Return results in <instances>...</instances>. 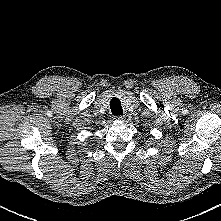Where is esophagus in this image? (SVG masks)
Masks as SVG:
<instances>
[{
  "label": "esophagus",
  "mask_w": 221,
  "mask_h": 221,
  "mask_svg": "<svg viewBox=\"0 0 221 221\" xmlns=\"http://www.w3.org/2000/svg\"><path fill=\"white\" fill-rule=\"evenodd\" d=\"M115 120H123L125 118L124 115H121V116H114L113 117Z\"/></svg>",
  "instance_id": "34e87169"
}]
</instances>
